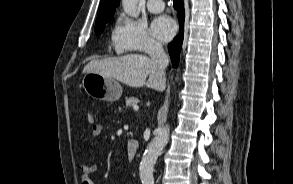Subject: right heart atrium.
<instances>
[{
    "mask_svg": "<svg viewBox=\"0 0 293 184\" xmlns=\"http://www.w3.org/2000/svg\"><path fill=\"white\" fill-rule=\"evenodd\" d=\"M113 45L118 53L157 54L162 47L148 32L144 23L120 16L113 30Z\"/></svg>",
    "mask_w": 293,
    "mask_h": 184,
    "instance_id": "1",
    "label": "right heart atrium"
}]
</instances>
